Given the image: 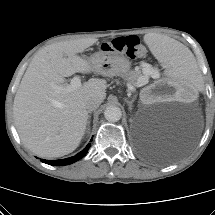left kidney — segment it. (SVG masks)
I'll list each match as a JSON object with an SVG mask.
<instances>
[{
	"label": "left kidney",
	"mask_w": 215,
	"mask_h": 215,
	"mask_svg": "<svg viewBox=\"0 0 215 215\" xmlns=\"http://www.w3.org/2000/svg\"><path fill=\"white\" fill-rule=\"evenodd\" d=\"M196 98V91L187 84L164 82L159 85L150 86L143 90L142 99L146 103H153L162 99L171 101L192 102Z\"/></svg>",
	"instance_id": "obj_1"
}]
</instances>
